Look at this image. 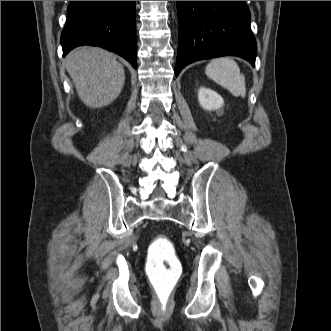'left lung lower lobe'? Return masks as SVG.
I'll return each instance as SVG.
<instances>
[{
    "label": "left lung lower lobe",
    "instance_id": "left-lung-lower-lobe-1",
    "mask_svg": "<svg viewBox=\"0 0 331 331\" xmlns=\"http://www.w3.org/2000/svg\"><path fill=\"white\" fill-rule=\"evenodd\" d=\"M179 44L175 75L188 64L239 56L255 66L257 45L245 1H177Z\"/></svg>",
    "mask_w": 331,
    "mask_h": 331
}]
</instances>
